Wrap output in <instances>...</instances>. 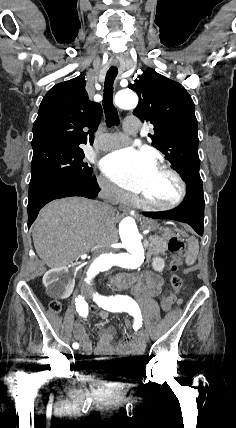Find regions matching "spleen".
<instances>
[{
	"instance_id": "obj_1",
	"label": "spleen",
	"mask_w": 236,
	"mask_h": 428,
	"mask_svg": "<svg viewBox=\"0 0 236 428\" xmlns=\"http://www.w3.org/2000/svg\"><path fill=\"white\" fill-rule=\"evenodd\" d=\"M188 242V256L186 258V264L187 266H192V264H194L197 256H198V252H199V244H198V240H196V238H188L187 240Z\"/></svg>"
}]
</instances>
